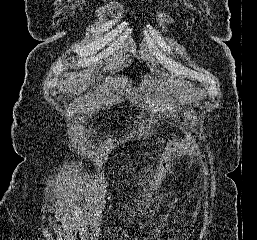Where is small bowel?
I'll return each instance as SVG.
<instances>
[{"label": "small bowel", "mask_w": 257, "mask_h": 240, "mask_svg": "<svg viewBox=\"0 0 257 240\" xmlns=\"http://www.w3.org/2000/svg\"><path fill=\"white\" fill-rule=\"evenodd\" d=\"M56 216L60 217L62 216V213H57ZM54 233L57 240H78V239H93L95 236V233L93 231H85L79 235H72L68 229L63 228L60 224L57 222L54 223Z\"/></svg>", "instance_id": "c3829d8e"}]
</instances>
